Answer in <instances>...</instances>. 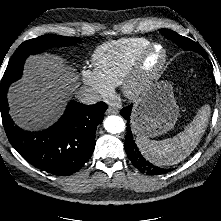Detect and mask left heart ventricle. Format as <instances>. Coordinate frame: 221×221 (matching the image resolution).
Here are the masks:
<instances>
[{
	"label": "left heart ventricle",
	"mask_w": 221,
	"mask_h": 221,
	"mask_svg": "<svg viewBox=\"0 0 221 221\" xmlns=\"http://www.w3.org/2000/svg\"><path fill=\"white\" fill-rule=\"evenodd\" d=\"M160 58V51L155 50L147 59L146 61V68L147 69H152L158 62Z\"/></svg>",
	"instance_id": "1"
}]
</instances>
